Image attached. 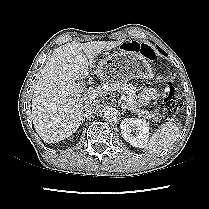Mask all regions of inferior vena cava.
Listing matches in <instances>:
<instances>
[{"label": "inferior vena cava", "instance_id": "inferior-vena-cava-1", "mask_svg": "<svg viewBox=\"0 0 209 209\" xmlns=\"http://www.w3.org/2000/svg\"><path fill=\"white\" fill-rule=\"evenodd\" d=\"M100 103L98 100H87L84 105V110L87 114H93L98 111Z\"/></svg>", "mask_w": 209, "mask_h": 209}]
</instances>
